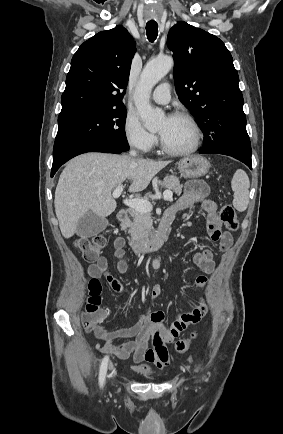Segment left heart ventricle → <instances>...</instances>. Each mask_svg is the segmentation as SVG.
Segmentation results:
<instances>
[{
  "label": "left heart ventricle",
  "instance_id": "left-heart-ventricle-1",
  "mask_svg": "<svg viewBox=\"0 0 283 434\" xmlns=\"http://www.w3.org/2000/svg\"><path fill=\"white\" fill-rule=\"evenodd\" d=\"M164 142L172 149H186L193 141V132L187 121L180 118H163L157 128Z\"/></svg>",
  "mask_w": 283,
  "mask_h": 434
}]
</instances>
